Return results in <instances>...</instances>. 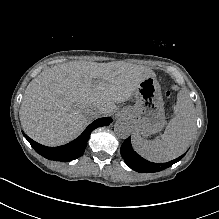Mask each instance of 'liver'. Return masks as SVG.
I'll list each match as a JSON object with an SVG mask.
<instances>
[{"mask_svg":"<svg viewBox=\"0 0 219 219\" xmlns=\"http://www.w3.org/2000/svg\"><path fill=\"white\" fill-rule=\"evenodd\" d=\"M150 71L134 64L67 62L37 75L26 87L19 117L27 136L46 147L78 138L87 124L117 110Z\"/></svg>","mask_w":219,"mask_h":219,"instance_id":"1","label":"liver"}]
</instances>
